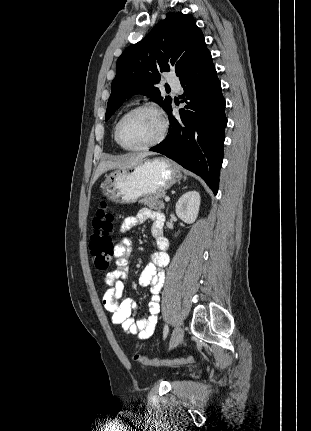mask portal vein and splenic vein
Returning <instances> with one entry per match:
<instances>
[{
  "mask_svg": "<svg viewBox=\"0 0 311 431\" xmlns=\"http://www.w3.org/2000/svg\"><path fill=\"white\" fill-rule=\"evenodd\" d=\"M165 202H169L170 198H164Z\"/></svg>",
  "mask_w": 311,
  "mask_h": 431,
  "instance_id": "1",
  "label": "portal vein and splenic vein"
}]
</instances>
